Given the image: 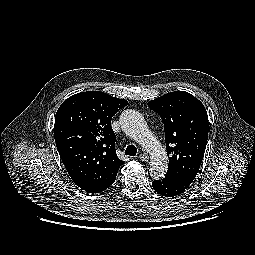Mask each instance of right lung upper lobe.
Returning a JSON list of instances; mask_svg holds the SVG:
<instances>
[{"instance_id": "cb5924a9", "label": "right lung upper lobe", "mask_w": 255, "mask_h": 255, "mask_svg": "<svg viewBox=\"0 0 255 255\" xmlns=\"http://www.w3.org/2000/svg\"><path fill=\"white\" fill-rule=\"evenodd\" d=\"M128 102L100 91L75 94L55 115L54 137L63 164L82 190L116 179L124 163L116 155L112 117Z\"/></svg>"}]
</instances>
